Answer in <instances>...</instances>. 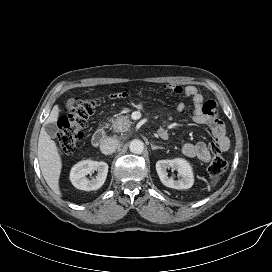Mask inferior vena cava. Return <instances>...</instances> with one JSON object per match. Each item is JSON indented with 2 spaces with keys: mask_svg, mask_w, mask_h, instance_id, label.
Instances as JSON below:
<instances>
[{
  "mask_svg": "<svg viewBox=\"0 0 272 272\" xmlns=\"http://www.w3.org/2000/svg\"><path fill=\"white\" fill-rule=\"evenodd\" d=\"M118 140L114 138H106L100 144V150L105 155L114 153L118 147Z\"/></svg>",
  "mask_w": 272,
  "mask_h": 272,
  "instance_id": "1",
  "label": "inferior vena cava"
}]
</instances>
